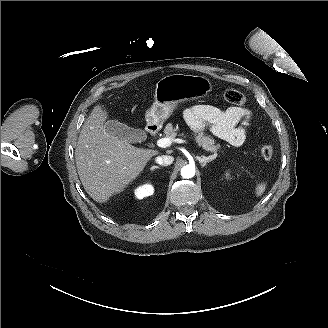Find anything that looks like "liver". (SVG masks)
Instances as JSON below:
<instances>
[{"label":"liver","instance_id":"obj_1","mask_svg":"<svg viewBox=\"0 0 328 328\" xmlns=\"http://www.w3.org/2000/svg\"><path fill=\"white\" fill-rule=\"evenodd\" d=\"M107 117L101 106L94 107L82 126L75 149L81 183L99 203L123 191L158 154L156 150L137 148L126 140L107 135L103 126Z\"/></svg>","mask_w":328,"mask_h":328}]
</instances>
